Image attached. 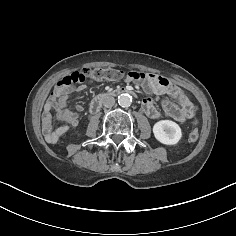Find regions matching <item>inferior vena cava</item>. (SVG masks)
<instances>
[{
  "mask_svg": "<svg viewBox=\"0 0 236 236\" xmlns=\"http://www.w3.org/2000/svg\"><path fill=\"white\" fill-rule=\"evenodd\" d=\"M102 103H103V106H104V107H106V108H111V107H113L114 104H115V99H114V97H112V96H105V97L103 98Z\"/></svg>",
  "mask_w": 236,
  "mask_h": 236,
  "instance_id": "inferior-vena-cava-1",
  "label": "inferior vena cava"
}]
</instances>
